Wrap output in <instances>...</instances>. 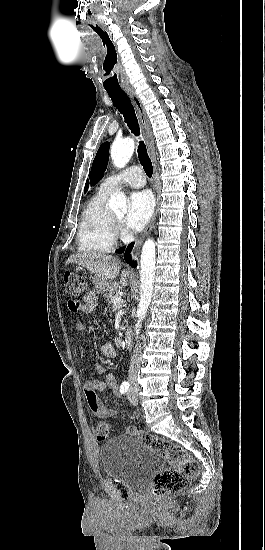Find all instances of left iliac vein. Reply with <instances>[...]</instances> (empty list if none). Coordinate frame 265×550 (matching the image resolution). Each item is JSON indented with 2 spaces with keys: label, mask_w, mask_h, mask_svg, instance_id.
Instances as JSON below:
<instances>
[{
  "label": "left iliac vein",
  "mask_w": 265,
  "mask_h": 550,
  "mask_svg": "<svg viewBox=\"0 0 265 550\" xmlns=\"http://www.w3.org/2000/svg\"><path fill=\"white\" fill-rule=\"evenodd\" d=\"M127 397H128V400L130 401L131 404H133V405L138 404L137 394L135 392H133L132 390H129V392L127 394Z\"/></svg>",
  "instance_id": "obj_1"
}]
</instances>
